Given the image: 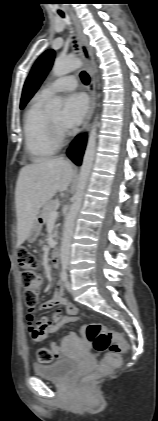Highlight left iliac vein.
I'll use <instances>...</instances> for the list:
<instances>
[{
    "instance_id": "obj_1",
    "label": "left iliac vein",
    "mask_w": 158,
    "mask_h": 421,
    "mask_svg": "<svg viewBox=\"0 0 158 421\" xmlns=\"http://www.w3.org/2000/svg\"><path fill=\"white\" fill-rule=\"evenodd\" d=\"M65 286H66V288H67L68 291H71L72 290V285H71V282L70 281H67L65 283Z\"/></svg>"
}]
</instances>
